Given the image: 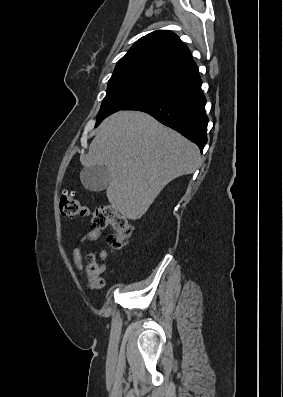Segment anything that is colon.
I'll use <instances>...</instances> for the list:
<instances>
[{
    "label": "colon",
    "mask_w": 283,
    "mask_h": 397,
    "mask_svg": "<svg viewBox=\"0 0 283 397\" xmlns=\"http://www.w3.org/2000/svg\"><path fill=\"white\" fill-rule=\"evenodd\" d=\"M59 208L60 213L65 216L79 215L81 217H90L94 227L105 228L111 226L114 232L108 236L107 243L113 250L121 249L132 236L133 227L128 219L111 205H101L91 210L82 205L73 193L62 192ZM84 271L89 278L90 289H100L103 281L99 277V266L94 255L87 257Z\"/></svg>",
    "instance_id": "5ec220e1"
}]
</instances>
